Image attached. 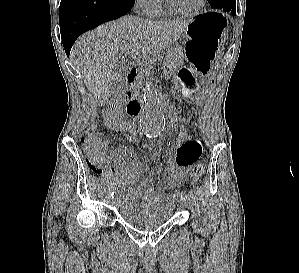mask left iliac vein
<instances>
[{"mask_svg": "<svg viewBox=\"0 0 299 273\" xmlns=\"http://www.w3.org/2000/svg\"><path fill=\"white\" fill-rule=\"evenodd\" d=\"M178 206H179V208H185V206H186V201L184 200V199H180L179 201H178Z\"/></svg>", "mask_w": 299, "mask_h": 273, "instance_id": "left-iliac-vein-1", "label": "left iliac vein"}]
</instances>
